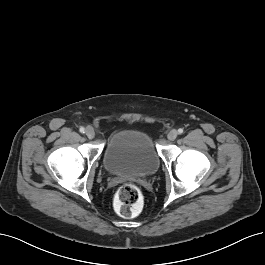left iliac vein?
<instances>
[{"label": "left iliac vein", "instance_id": "4c4485c4", "mask_svg": "<svg viewBox=\"0 0 265 265\" xmlns=\"http://www.w3.org/2000/svg\"><path fill=\"white\" fill-rule=\"evenodd\" d=\"M178 132L176 130H171L168 135L167 138L169 141H174L177 138Z\"/></svg>", "mask_w": 265, "mask_h": 265}]
</instances>
